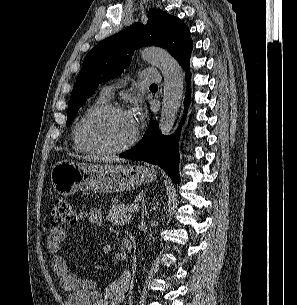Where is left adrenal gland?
<instances>
[{
	"instance_id": "a2214340",
	"label": "left adrenal gland",
	"mask_w": 297,
	"mask_h": 305,
	"mask_svg": "<svg viewBox=\"0 0 297 305\" xmlns=\"http://www.w3.org/2000/svg\"><path fill=\"white\" fill-rule=\"evenodd\" d=\"M142 217H144L147 214V208L145 206V204L143 203V209H142Z\"/></svg>"
}]
</instances>
